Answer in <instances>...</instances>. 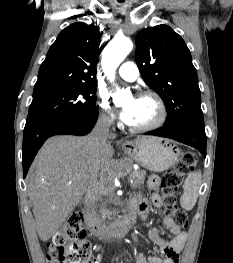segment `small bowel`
Returning <instances> with one entry per match:
<instances>
[{
  "mask_svg": "<svg viewBox=\"0 0 233 263\" xmlns=\"http://www.w3.org/2000/svg\"><path fill=\"white\" fill-rule=\"evenodd\" d=\"M147 185L153 191L151 203L154 207L160 209L163 202L159 192V177L151 175L148 178ZM133 202L136 204L137 212L141 215V217L143 219L146 218L150 206L148 200L138 197L131 201V203ZM163 223L172 235L170 240L164 239L157 229H152L149 232L151 241L159 247L162 256H146L143 253H139L136 263H179V253L183 249L187 240V233L178 227L172 219L167 216L163 217ZM91 263H100V257H93Z\"/></svg>",
  "mask_w": 233,
  "mask_h": 263,
  "instance_id": "c3829d8e",
  "label": "small bowel"
}]
</instances>
